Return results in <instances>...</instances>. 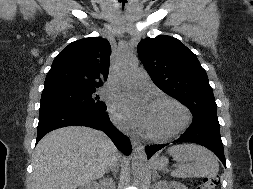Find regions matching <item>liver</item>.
Returning a JSON list of instances; mask_svg holds the SVG:
<instances>
[{"label":"liver","mask_w":253,"mask_h":189,"mask_svg":"<svg viewBox=\"0 0 253 189\" xmlns=\"http://www.w3.org/2000/svg\"><path fill=\"white\" fill-rule=\"evenodd\" d=\"M120 158L102 131L81 126L51 131L35 149V189H76L101 178Z\"/></svg>","instance_id":"obj_1"}]
</instances>
